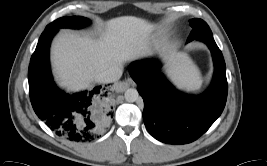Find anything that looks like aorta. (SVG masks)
<instances>
[{"label": "aorta", "mask_w": 267, "mask_h": 166, "mask_svg": "<svg viewBox=\"0 0 267 166\" xmlns=\"http://www.w3.org/2000/svg\"><path fill=\"white\" fill-rule=\"evenodd\" d=\"M124 96H125V100H126L127 102H135V101H137L138 98H139V93H138V91H137L136 89H134V88H129V89H127V90L125 91Z\"/></svg>", "instance_id": "762f6f07"}]
</instances>
